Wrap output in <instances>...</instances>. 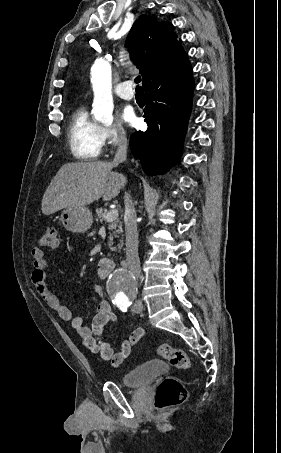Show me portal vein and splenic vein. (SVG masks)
I'll return each mask as SVG.
<instances>
[{"mask_svg":"<svg viewBox=\"0 0 281 453\" xmlns=\"http://www.w3.org/2000/svg\"><path fill=\"white\" fill-rule=\"evenodd\" d=\"M117 216H118L117 208H111L109 212H106V216H104V218H106L107 222H112V220H115Z\"/></svg>","mask_w":281,"mask_h":453,"instance_id":"portal-vein-and-splenic-vein-1","label":"portal vein and splenic vein"}]
</instances>
